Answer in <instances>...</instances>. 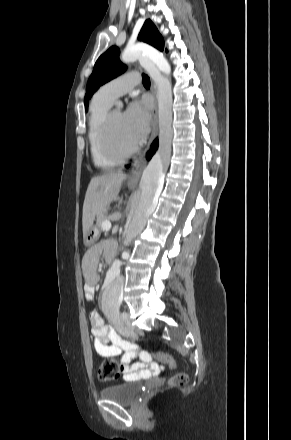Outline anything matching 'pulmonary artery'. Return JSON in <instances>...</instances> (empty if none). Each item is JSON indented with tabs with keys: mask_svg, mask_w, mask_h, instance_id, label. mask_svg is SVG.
<instances>
[{
	"mask_svg": "<svg viewBox=\"0 0 291 440\" xmlns=\"http://www.w3.org/2000/svg\"><path fill=\"white\" fill-rule=\"evenodd\" d=\"M140 82L139 74L127 73L107 82L98 92L103 98L112 102L114 99L131 92Z\"/></svg>",
	"mask_w": 291,
	"mask_h": 440,
	"instance_id": "obj_1",
	"label": "pulmonary artery"
}]
</instances>
